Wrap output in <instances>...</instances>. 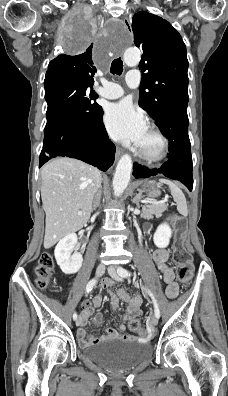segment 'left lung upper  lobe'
Listing matches in <instances>:
<instances>
[{"label": "left lung upper lobe", "mask_w": 228, "mask_h": 396, "mask_svg": "<svg viewBox=\"0 0 228 396\" xmlns=\"http://www.w3.org/2000/svg\"><path fill=\"white\" fill-rule=\"evenodd\" d=\"M134 43L143 50L139 105L156 122L169 108L188 103V60L182 37L161 17L141 11L133 16Z\"/></svg>", "instance_id": "left-lung-upper-lobe-1"}]
</instances>
